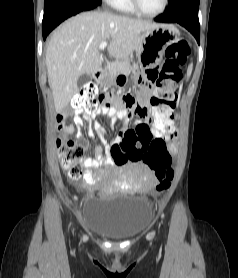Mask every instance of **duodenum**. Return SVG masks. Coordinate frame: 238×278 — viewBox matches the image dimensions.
I'll use <instances>...</instances> for the list:
<instances>
[{
    "instance_id": "410a0bca",
    "label": "duodenum",
    "mask_w": 238,
    "mask_h": 278,
    "mask_svg": "<svg viewBox=\"0 0 238 278\" xmlns=\"http://www.w3.org/2000/svg\"><path fill=\"white\" fill-rule=\"evenodd\" d=\"M94 77L97 81L102 82L105 78V73H104L103 69H98L95 72Z\"/></svg>"
}]
</instances>
